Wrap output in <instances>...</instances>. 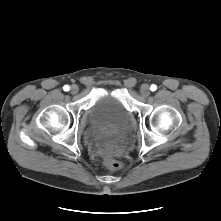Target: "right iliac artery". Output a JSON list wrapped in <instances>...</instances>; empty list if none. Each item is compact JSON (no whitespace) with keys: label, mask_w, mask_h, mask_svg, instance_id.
I'll use <instances>...</instances> for the list:
<instances>
[{"label":"right iliac artery","mask_w":221,"mask_h":221,"mask_svg":"<svg viewBox=\"0 0 221 221\" xmlns=\"http://www.w3.org/2000/svg\"><path fill=\"white\" fill-rule=\"evenodd\" d=\"M63 89H64V91H69V90H70V87H69L68 85H65V86L63 87Z\"/></svg>","instance_id":"1"}]
</instances>
